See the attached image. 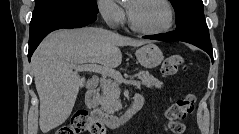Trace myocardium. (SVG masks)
Instances as JSON below:
<instances>
[{
  "label": "myocardium",
  "instance_id": "myocardium-1",
  "mask_svg": "<svg viewBox=\"0 0 239 134\" xmlns=\"http://www.w3.org/2000/svg\"><path fill=\"white\" fill-rule=\"evenodd\" d=\"M154 1L161 3L166 8L167 14H168L166 24L163 27L158 29H145L136 25L134 21L132 20L130 13L128 12L129 26L133 31L140 34H144V35H161L168 32L171 29V27L174 24V10L170 2L167 0H154Z\"/></svg>",
  "mask_w": 239,
  "mask_h": 134
}]
</instances>
